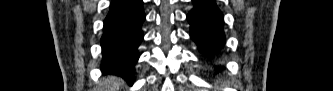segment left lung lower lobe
Here are the masks:
<instances>
[{"mask_svg": "<svg viewBox=\"0 0 333 91\" xmlns=\"http://www.w3.org/2000/svg\"><path fill=\"white\" fill-rule=\"evenodd\" d=\"M194 7L188 13L187 20L191 25V39L207 56L219 51L224 43L223 14L214 0H193ZM220 70V68H216Z\"/></svg>", "mask_w": 333, "mask_h": 91, "instance_id": "left-lung-lower-lobe-1", "label": "left lung lower lobe"}]
</instances>
